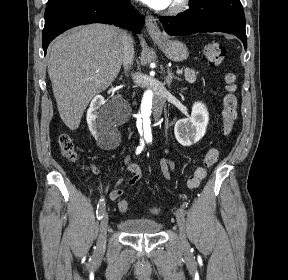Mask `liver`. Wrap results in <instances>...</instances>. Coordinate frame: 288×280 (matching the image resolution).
I'll return each mask as SVG.
<instances>
[{
	"label": "liver",
	"instance_id": "1",
	"mask_svg": "<svg viewBox=\"0 0 288 280\" xmlns=\"http://www.w3.org/2000/svg\"><path fill=\"white\" fill-rule=\"evenodd\" d=\"M124 31L90 24L56 39L49 47L48 74L62 121L79 127L91 99L107 89L123 61Z\"/></svg>",
	"mask_w": 288,
	"mask_h": 280
}]
</instances>
